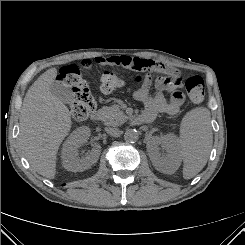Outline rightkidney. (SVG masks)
I'll use <instances>...</instances> for the list:
<instances>
[{"label":"right kidney","mask_w":245,"mask_h":245,"mask_svg":"<svg viewBox=\"0 0 245 245\" xmlns=\"http://www.w3.org/2000/svg\"><path fill=\"white\" fill-rule=\"evenodd\" d=\"M90 137V129L87 126L77 128L64 142L61 152L63 167L72 172L84 171L95 164L101 153L98 143L93 145L90 152L78 157L79 148L83 146Z\"/></svg>","instance_id":"right-kidney-1"}]
</instances>
